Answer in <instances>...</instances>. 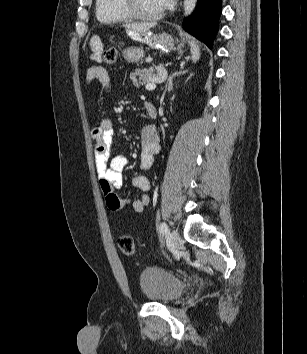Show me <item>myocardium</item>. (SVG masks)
I'll return each instance as SVG.
<instances>
[{"label": "myocardium", "mask_w": 307, "mask_h": 354, "mask_svg": "<svg viewBox=\"0 0 307 354\" xmlns=\"http://www.w3.org/2000/svg\"><path fill=\"white\" fill-rule=\"evenodd\" d=\"M122 10L131 18L143 21H153L159 19L163 12L160 11L155 14H145L139 11L135 0H119Z\"/></svg>", "instance_id": "obj_1"}]
</instances>
